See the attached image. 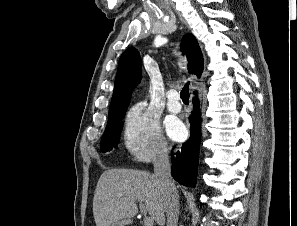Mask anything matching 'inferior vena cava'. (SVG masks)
Instances as JSON below:
<instances>
[{
  "label": "inferior vena cava",
  "mask_w": 297,
  "mask_h": 226,
  "mask_svg": "<svg viewBox=\"0 0 297 226\" xmlns=\"http://www.w3.org/2000/svg\"><path fill=\"white\" fill-rule=\"evenodd\" d=\"M154 177L164 190L167 226H177L179 216V195L171 176L169 151L164 146L154 160Z\"/></svg>",
  "instance_id": "602c4592"
}]
</instances>
